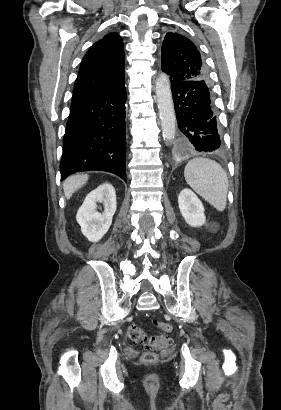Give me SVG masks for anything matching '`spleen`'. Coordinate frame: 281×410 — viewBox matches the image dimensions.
I'll return each instance as SVG.
<instances>
[{
    "instance_id": "1",
    "label": "spleen",
    "mask_w": 281,
    "mask_h": 410,
    "mask_svg": "<svg viewBox=\"0 0 281 410\" xmlns=\"http://www.w3.org/2000/svg\"><path fill=\"white\" fill-rule=\"evenodd\" d=\"M184 177L191 188L216 210H225L228 178L220 164L207 158H194L185 166Z\"/></svg>"
}]
</instances>
